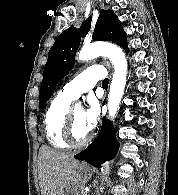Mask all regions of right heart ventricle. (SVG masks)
Here are the masks:
<instances>
[{
	"mask_svg": "<svg viewBox=\"0 0 178 195\" xmlns=\"http://www.w3.org/2000/svg\"><path fill=\"white\" fill-rule=\"evenodd\" d=\"M71 101L59 92L51 101L45 114V135L51 146L56 149L69 148L62 137V132Z\"/></svg>",
	"mask_w": 178,
	"mask_h": 195,
	"instance_id": "1",
	"label": "right heart ventricle"
}]
</instances>
